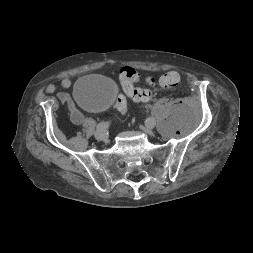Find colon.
<instances>
[{
  "mask_svg": "<svg viewBox=\"0 0 253 253\" xmlns=\"http://www.w3.org/2000/svg\"><path fill=\"white\" fill-rule=\"evenodd\" d=\"M139 79L138 72L132 67H123L120 70V80L125 94L136 102L148 101L151 98V91L148 88L135 87V82ZM180 75L176 71H169L159 79V84L164 88H174L180 83ZM115 109L118 114L127 111V100L124 95H119L115 99Z\"/></svg>",
  "mask_w": 253,
  "mask_h": 253,
  "instance_id": "1",
  "label": "colon"
}]
</instances>
